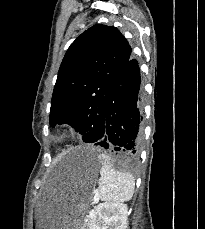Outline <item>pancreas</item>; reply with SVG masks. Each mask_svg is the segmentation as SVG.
I'll use <instances>...</instances> for the list:
<instances>
[{
  "mask_svg": "<svg viewBox=\"0 0 205 229\" xmlns=\"http://www.w3.org/2000/svg\"><path fill=\"white\" fill-rule=\"evenodd\" d=\"M88 225H89V223H86V224H85V227H88Z\"/></svg>",
  "mask_w": 205,
  "mask_h": 229,
  "instance_id": "1",
  "label": "pancreas"
}]
</instances>
